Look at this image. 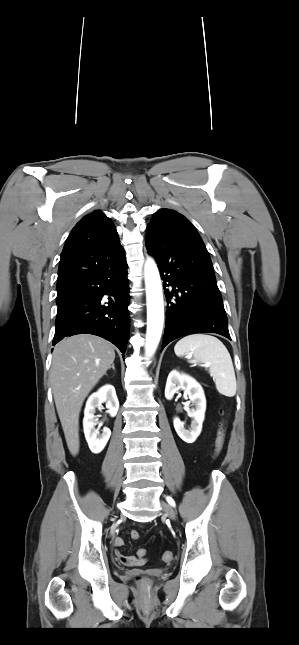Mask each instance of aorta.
<instances>
[{
  "mask_svg": "<svg viewBox=\"0 0 299 645\" xmlns=\"http://www.w3.org/2000/svg\"><path fill=\"white\" fill-rule=\"evenodd\" d=\"M147 301V331L145 353L153 356L160 342L164 324V301L162 283L155 261L148 258L144 265Z\"/></svg>",
  "mask_w": 299,
  "mask_h": 645,
  "instance_id": "aorta-1",
  "label": "aorta"
}]
</instances>
